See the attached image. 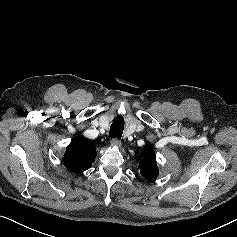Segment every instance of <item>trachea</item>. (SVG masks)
Here are the masks:
<instances>
[{"label": "trachea", "instance_id": "obj_1", "mask_svg": "<svg viewBox=\"0 0 237 237\" xmlns=\"http://www.w3.org/2000/svg\"><path fill=\"white\" fill-rule=\"evenodd\" d=\"M123 125V120L119 117H115L113 119V123L111 124L109 135L113 138L121 139L124 130Z\"/></svg>", "mask_w": 237, "mask_h": 237}]
</instances>
